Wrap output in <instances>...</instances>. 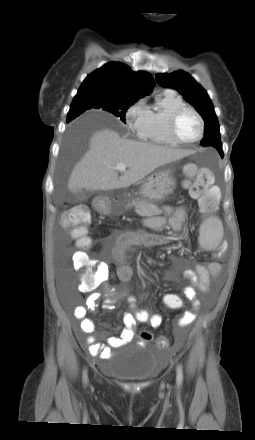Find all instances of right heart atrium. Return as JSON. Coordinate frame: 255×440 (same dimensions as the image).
Listing matches in <instances>:
<instances>
[{"mask_svg": "<svg viewBox=\"0 0 255 440\" xmlns=\"http://www.w3.org/2000/svg\"><path fill=\"white\" fill-rule=\"evenodd\" d=\"M146 116L147 107L144 100L139 99L126 110L125 120L129 128L139 135L144 127Z\"/></svg>", "mask_w": 255, "mask_h": 440, "instance_id": "right-heart-atrium-1", "label": "right heart atrium"}]
</instances>
